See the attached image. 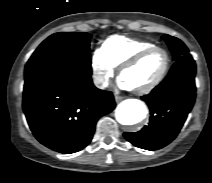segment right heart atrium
I'll return each instance as SVG.
<instances>
[{"label":"right heart atrium","instance_id":"right-heart-atrium-1","mask_svg":"<svg viewBox=\"0 0 212 183\" xmlns=\"http://www.w3.org/2000/svg\"><path fill=\"white\" fill-rule=\"evenodd\" d=\"M91 69L95 84L100 88L107 87L114 75L115 66L102 47L94 51L91 58Z\"/></svg>","mask_w":212,"mask_h":183}]
</instances>
